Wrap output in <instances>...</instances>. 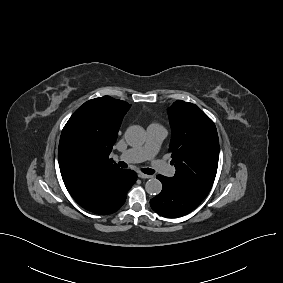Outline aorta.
<instances>
[{"label":"aorta","instance_id":"762f6f07","mask_svg":"<svg viewBox=\"0 0 283 283\" xmlns=\"http://www.w3.org/2000/svg\"><path fill=\"white\" fill-rule=\"evenodd\" d=\"M125 139L130 146L142 145L146 139L145 130L139 125H132L127 128ZM145 189L150 195H158L162 191V183L156 178H151L146 182Z\"/></svg>","mask_w":283,"mask_h":283}]
</instances>
